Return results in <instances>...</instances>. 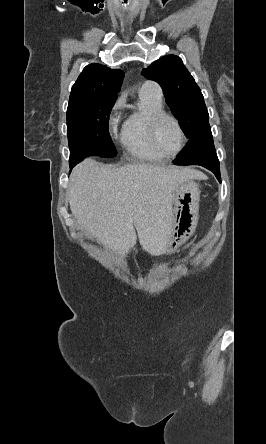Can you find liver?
Returning a JSON list of instances; mask_svg holds the SVG:
<instances>
[{
    "mask_svg": "<svg viewBox=\"0 0 266 444\" xmlns=\"http://www.w3.org/2000/svg\"><path fill=\"white\" fill-rule=\"evenodd\" d=\"M190 168L129 164L119 168L93 159L78 164L70 176V210L90 238L121 255L137 240L151 255L170 241L173 192L199 179Z\"/></svg>",
    "mask_w": 266,
    "mask_h": 444,
    "instance_id": "1",
    "label": "liver"
}]
</instances>
